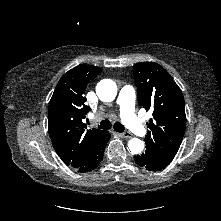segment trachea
Wrapping results in <instances>:
<instances>
[{
	"label": "trachea",
	"mask_w": 221,
	"mask_h": 221,
	"mask_svg": "<svg viewBox=\"0 0 221 221\" xmlns=\"http://www.w3.org/2000/svg\"><path fill=\"white\" fill-rule=\"evenodd\" d=\"M98 127L100 129H111L112 124H111V121H109L108 119H105V120L101 121V123ZM113 128H114V130H116L117 132H120V133L125 130L124 126L119 122L114 123Z\"/></svg>",
	"instance_id": "trachea-1"
}]
</instances>
